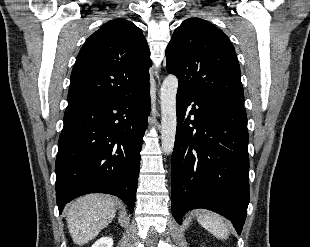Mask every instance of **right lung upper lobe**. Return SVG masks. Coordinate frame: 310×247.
I'll list each match as a JSON object with an SVG mask.
<instances>
[{
	"mask_svg": "<svg viewBox=\"0 0 310 247\" xmlns=\"http://www.w3.org/2000/svg\"><path fill=\"white\" fill-rule=\"evenodd\" d=\"M150 51L131 21L114 19L82 46L71 73L68 106L142 91L150 86Z\"/></svg>",
	"mask_w": 310,
	"mask_h": 247,
	"instance_id": "1",
	"label": "right lung upper lobe"
}]
</instances>
